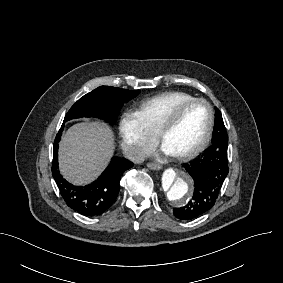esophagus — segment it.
Instances as JSON below:
<instances>
[{
	"instance_id": "obj_1",
	"label": "esophagus",
	"mask_w": 283,
	"mask_h": 283,
	"mask_svg": "<svg viewBox=\"0 0 283 283\" xmlns=\"http://www.w3.org/2000/svg\"><path fill=\"white\" fill-rule=\"evenodd\" d=\"M147 167L151 170H160L162 165L160 163H147Z\"/></svg>"
}]
</instances>
